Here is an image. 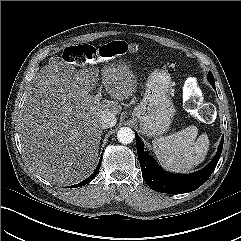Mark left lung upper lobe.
Here are the masks:
<instances>
[{
	"label": "left lung upper lobe",
	"instance_id": "left-lung-upper-lobe-1",
	"mask_svg": "<svg viewBox=\"0 0 241 241\" xmlns=\"http://www.w3.org/2000/svg\"><path fill=\"white\" fill-rule=\"evenodd\" d=\"M209 81H210V83L214 82V76L212 73L209 74Z\"/></svg>",
	"mask_w": 241,
	"mask_h": 241
}]
</instances>
